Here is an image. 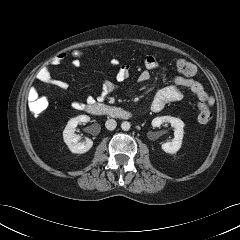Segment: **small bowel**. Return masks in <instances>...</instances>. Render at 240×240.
Segmentation results:
<instances>
[{
	"instance_id": "obj_1",
	"label": "small bowel",
	"mask_w": 240,
	"mask_h": 240,
	"mask_svg": "<svg viewBox=\"0 0 240 240\" xmlns=\"http://www.w3.org/2000/svg\"><path fill=\"white\" fill-rule=\"evenodd\" d=\"M66 58L64 53H60L52 57L48 64L43 66L36 74V78L48 85L55 86L60 89H66L67 83L65 81L54 78L50 72V66L60 64ZM110 65L117 67V73L115 75V81L104 79L102 81L100 93L97 96L98 100L105 99L109 94L116 91L120 84L125 82L130 76V66L124 63H120L117 59L110 60ZM159 67L157 59L151 55H147L144 58V70H142L138 76L140 82H146L151 77V71ZM188 89L193 95H195L200 102L206 103L208 106L214 103V99L208 95L201 83L194 80L191 76L178 75L173 79V83L160 89L154 96L151 102V110L153 112L162 111L165 106L171 102L179 101L183 98V90ZM38 92L35 87H32L28 93V100L37 99ZM95 98L89 96L86 103L80 101H73L72 107L76 110H84L85 107L94 103Z\"/></svg>"
}]
</instances>
